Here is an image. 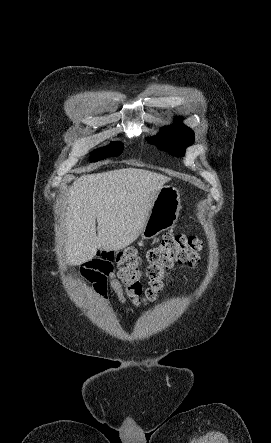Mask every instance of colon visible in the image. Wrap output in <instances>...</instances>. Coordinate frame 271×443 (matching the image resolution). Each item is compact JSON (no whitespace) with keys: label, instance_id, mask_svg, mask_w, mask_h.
<instances>
[{"label":"colon","instance_id":"1","mask_svg":"<svg viewBox=\"0 0 271 443\" xmlns=\"http://www.w3.org/2000/svg\"><path fill=\"white\" fill-rule=\"evenodd\" d=\"M202 242L195 236L185 234H166L161 242L147 252L149 280L147 288L140 283V256L133 248L108 250L99 254L97 260L106 264L116 262L118 277L124 284L126 295L135 303L153 301L164 286L170 269L176 264L194 266L200 260Z\"/></svg>","mask_w":271,"mask_h":443}]
</instances>
